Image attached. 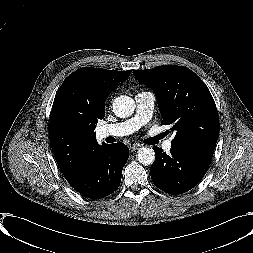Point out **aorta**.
Instances as JSON below:
<instances>
[{
	"mask_svg": "<svg viewBox=\"0 0 253 253\" xmlns=\"http://www.w3.org/2000/svg\"><path fill=\"white\" fill-rule=\"evenodd\" d=\"M135 109L134 100L126 95L117 97L113 102V112L117 117L127 118ZM138 161L143 165H151L155 161V152L152 148L142 147L138 150Z\"/></svg>",
	"mask_w": 253,
	"mask_h": 253,
	"instance_id": "obj_1",
	"label": "aorta"
}]
</instances>
